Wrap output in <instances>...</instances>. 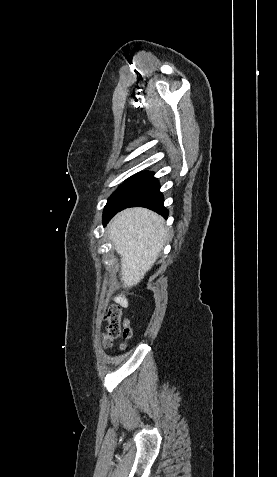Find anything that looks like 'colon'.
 <instances>
[{
    "label": "colon",
    "instance_id": "obj_1",
    "mask_svg": "<svg viewBox=\"0 0 277 477\" xmlns=\"http://www.w3.org/2000/svg\"><path fill=\"white\" fill-rule=\"evenodd\" d=\"M121 315V308L119 306H114L108 310L105 316V319L108 322L104 334V345L106 347L111 346L112 342L119 337H122L123 343L121 344V347H124L126 342L132 336V329L128 320L121 322Z\"/></svg>",
    "mask_w": 277,
    "mask_h": 477
}]
</instances>
